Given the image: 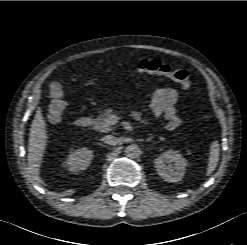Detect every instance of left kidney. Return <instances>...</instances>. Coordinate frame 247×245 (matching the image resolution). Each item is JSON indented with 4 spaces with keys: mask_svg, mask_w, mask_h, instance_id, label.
<instances>
[{
    "mask_svg": "<svg viewBox=\"0 0 247 245\" xmlns=\"http://www.w3.org/2000/svg\"><path fill=\"white\" fill-rule=\"evenodd\" d=\"M187 160L179 151L169 150L162 153L154 161V166L161 178L167 182H179L185 174Z\"/></svg>",
    "mask_w": 247,
    "mask_h": 245,
    "instance_id": "1",
    "label": "left kidney"
}]
</instances>
